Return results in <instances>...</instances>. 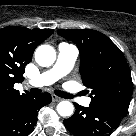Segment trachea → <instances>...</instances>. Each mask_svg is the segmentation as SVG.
Wrapping results in <instances>:
<instances>
[{"label":"trachea","instance_id":"3493384b","mask_svg":"<svg viewBox=\"0 0 136 136\" xmlns=\"http://www.w3.org/2000/svg\"><path fill=\"white\" fill-rule=\"evenodd\" d=\"M31 93L33 94H38V93H41V89H38V88H32L30 90ZM55 94L59 97H62V98H66V99H72L73 98V95L69 94V93H66L64 91H59V90H56L55 91Z\"/></svg>","mask_w":136,"mask_h":136}]
</instances>
